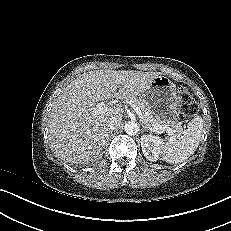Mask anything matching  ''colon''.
Listing matches in <instances>:
<instances>
[{
	"mask_svg": "<svg viewBox=\"0 0 231 231\" xmlns=\"http://www.w3.org/2000/svg\"><path fill=\"white\" fill-rule=\"evenodd\" d=\"M179 108L184 117H193L197 112V104L190 93L184 89H178Z\"/></svg>",
	"mask_w": 231,
	"mask_h": 231,
	"instance_id": "colon-1",
	"label": "colon"
}]
</instances>
